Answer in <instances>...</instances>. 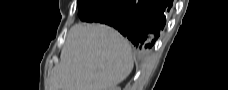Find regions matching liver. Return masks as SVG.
I'll return each instance as SVG.
<instances>
[{
    "mask_svg": "<svg viewBox=\"0 0 228 90\" xmlns=\"http://www.w3.org/2000/svg\"><path fill=\"white\" fill-rule=\"evenodd\" d=\"M133 69L129 42L100 24H76L50 76L49 90H109Z\"/></svg>",
    "mask_w": 228,
    "mask_h": 90,
    "instance_id": "liver-1",
    "label": "liver"
}]
</instances>
